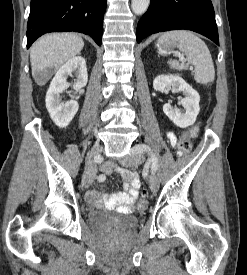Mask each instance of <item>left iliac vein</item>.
I'll use <instances>...</instances> for the list:
<instances>
[{
	"mask_svg": "<svg viewBox=\"0 0 247 275\" xmlns=\"http://www.w3.org/2000/svg\"><path fill=\"white\" fill-rule=\"evenodd\" d=\"M137 148H138V145H136L132 148V152L134 153L133 156L124 158L123 160H121V164L123 166L133 167V166H137L143 162V159H144L143 155H142V153L138 152ZM158 186H159V181H158L157 176L155 174H151L149 177V187H150L151 191L152 192L157 191Z\"/></svg>",
	"mask_w": 247,
	"mask_h": 275,
	"instance_id": "obj_1",
	"label": "left iliac vein"
}]
</instances>
